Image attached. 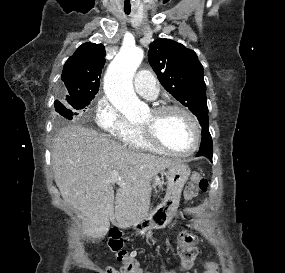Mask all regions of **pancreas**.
I'll list each match as a JSON object with an SVG mask.
<instances>
[{
    "mask_svg": "<svg viewBox=\"0 0 285 273\" xmlns=\"http://www.w3.org/2000/svg\"><path fill=\"white\" fill-rule=\"evenodd\" d=\"M152 187L155 189V192L157 193L156 188L157 187L162 188V184H161V182L156 180V181L153 182Z\"/></svg>",
    "mask_w": 285,
    "mask_h": 273,
    "instance_id": "cf45deb5",
    "label": "pancreas"
}]
</instances>
